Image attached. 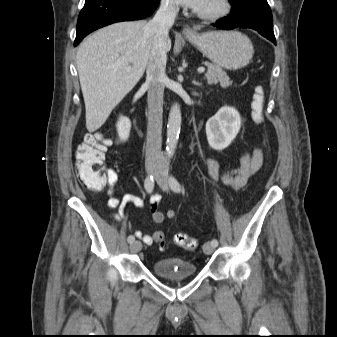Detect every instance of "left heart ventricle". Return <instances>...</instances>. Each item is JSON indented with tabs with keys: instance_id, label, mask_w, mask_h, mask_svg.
I'll use <instances>...</instances> for the list:
<instances>
[{
	"instance_id": "left-heart-ventricle-1",
	"label": "left heart ventricle",
	"mask_w": 337,
	"mask_h": 337,
	"mask_svg": "<svg viewBox=\"0 0 337 337\" xmlns=\"http://www.w3.org/2000/svg\"><path fill=\"white\" fill-rule=\"evenodd\" d=\"M216 7V0H207L205 5L199 11H209Z\"/></svg>"
}]
</instances>
